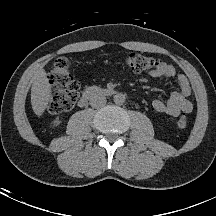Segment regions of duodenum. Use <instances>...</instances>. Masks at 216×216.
I'll use <instances>...</instances> for the list:
<instances>
[{"instance_id": "obj_1", "label": "duodenum", "mask_w": 216, "mask_h": 216, "mask_svg": "<svg viewBox=\"0 0 216 216\" xmlns=\"http://www.w3.org/2000/svg\"><path fill=\"white\" fill-rule=\"evenodd\" d=\"M116 93L115 90L113 89H108V88H88L84 91L83 95L81 96L79 100V106L84 107L86 106L89 101L98 95H103V96H110L114 95Z\"/></svg>"}]
</instances>
